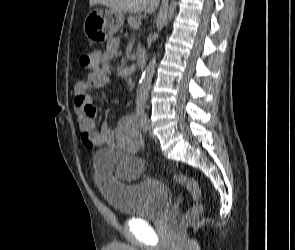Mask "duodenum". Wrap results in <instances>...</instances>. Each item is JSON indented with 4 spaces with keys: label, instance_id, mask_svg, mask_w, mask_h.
Segmentation results:
<instances>
[{
    "label": "duodenum",
    "instance_id": "obj_1",
    "mask_svg": "<svg viewBox=\"0 0 295 250\" xmlns=\"http://www.w3.org/2000/svg\"><path fill=\"white\" fill-rule=\"evenodd\" d=\"M146 54L144 51H138L136 54H135V61H136V64L137 66L140 68V69H143L146 67Z\"/></svg>",
    "mask_w": 295,
    "mask_h": 250
}]
</instances>
